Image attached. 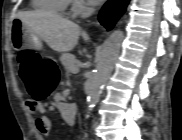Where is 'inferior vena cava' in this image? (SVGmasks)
<instances>
[{"instance_id":"inferior-vena-cava-1","label":"inferior vena cava","mask_w":182,"mask_h":140,"mask_svg":"<svg viewBox=\"0 0 182 140\" xmlns=\"http://www.w3.org/2000/svg\"><path fill=\"white\" fill-rule=\"evenodd\" d=\"M93 11H94L93 8H89L87 10V12L83 14V17H89L92 14Z\"/></svg>"}]
</instances>
